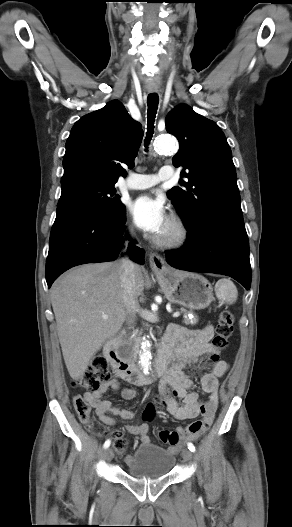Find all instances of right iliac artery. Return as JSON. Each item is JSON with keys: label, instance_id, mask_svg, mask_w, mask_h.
<instances>
[{"label": "right iliac artery", "instance_id": "obj_1", "mask_svg": "<svg viewBox=\"0 0 292 527\" xmlns=\"http://www.w3.org/2000/svg\"><path fill=\"white\" fill-rule=\"evenodd\" d=\"M110 443H111L110 440H106L105 443H104V445H103V448H104V449H107V448L110 446Z\"/></svg>", "mask_w": 292, "mask_h": 527}]
</instances>
